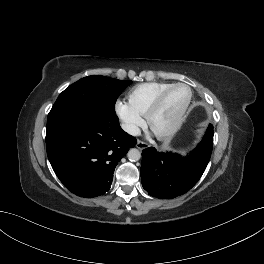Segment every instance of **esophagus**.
<instances>
[{
  "label": "esophagus",
  "instance_id": "34e87169",
  "mask_svg": "<svg viewBox=\"0 0 264 264\" xmlns=\"http://www.w3.org/2000/svg\"><path fill=\"white\" fill-rule=\"evenodd\" d=\"M147 146H148L147 143H145V142H143V141H141V140H138V141H137L136 147H137L138 149L143 150V149L147 148Z\"/></svg>",
  "mask_w": 264,
  "mask_h": 264
}]
</instances>
